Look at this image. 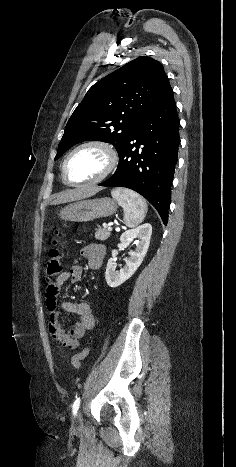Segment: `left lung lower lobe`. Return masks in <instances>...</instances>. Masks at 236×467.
Segmentation results:
<instances>
[{
    "mask_svg": "<svg viewBox=\"0 0 236 467\" xmlns=\"http://www.w3.org/2000/svg\"><path fill=\"white\" fill-rule=\"evenodd\" d=\"M180 120L172 88L131 131L119 153L116 172L100 183L126 187L145 197L168 222L171 184L178 159Z\"/></svg>",
    "mask_w": 236,
    "mask_h": 467,
    "instance_id": "1",
    "label": "left lung lower lobe"
}]
</instances>
